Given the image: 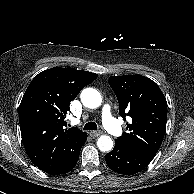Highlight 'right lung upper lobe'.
Returning <instances> with one entry per match:
<instances>
[{"mask_svg":"<svg viewBox=\"0 0 194 194\" xmlns=\"http://www.w3.org/2000/svg\"><path fill=\"white\" fill-rule=\"evenodd\" d=\"M97 74L74 68L54 67L31 81L20 104V130L26 153L45 171L68 158L87 135L65 129V114L81 89Z\"/></svg>","mask_w":194,"mask_h":194,"instance_id":"1","label":"right lung upper lobe"}]
</instances>
